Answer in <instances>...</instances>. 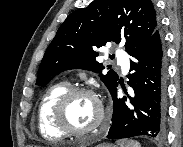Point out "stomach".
I'll use <instances>...</instances> for the list:
<instances>
[{
  "mask_svg": "<svg viewBox=\"0 0 183 147\" xmlns=\"http://www.w3.org/2000/svg\"><path fill=\"white\" fill-rule=\"evenodd\" d=\"M96 147H116V146L109 143H102L98 144Z\"/></svg>",
  "mask_w": 183,
  "mask_h": 147,
  "instance_id": "obj_1",
  "label": "stomach"
}]
</instances>
